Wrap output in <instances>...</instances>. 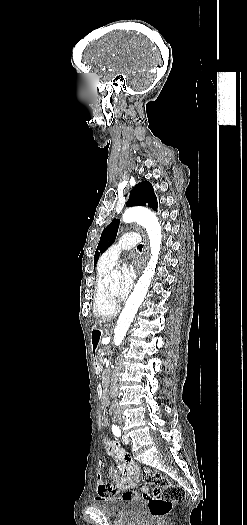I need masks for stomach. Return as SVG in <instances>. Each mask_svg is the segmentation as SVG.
Masks as SVG:
<instances>
[{
	"instance_id": "stomach-1",
	"label": "stomach",
	"mask_w": 247,
	"mask_h": 525,
	"mask_svg": "<svg viewBox=\"0 0 247 525\" xmlns=\"http://www.w3.org/2000/svg\"><path fill=\"white\" fill-rule=\"evenodd\" d=\"M102 334H101V329H94L91 333V343L92 345L94 346V350L101 338Z\"/></svg>"
}]
</instances>
